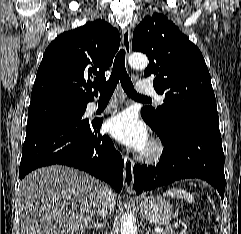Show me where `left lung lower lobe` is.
<instances>
[{
	"label": "left lung lower lobe",
	"instance_id": "obj_1",
	"mask_svg": "<svg viewBox=\"0 0 241 234\" xmlns=\"http://www.w3.org/2000/svg\"><path fill=\"white\" fill-rule=\"evenodd\" d=\"M165 148L154 167L134 166L137 194L179 179L200 178L213 185L224 197V153L219 124L204 120H178L169 135L160 138Z\"/></svg>",
	"mask_w": 241,
	"mask_h": 234
}]
</instances>
